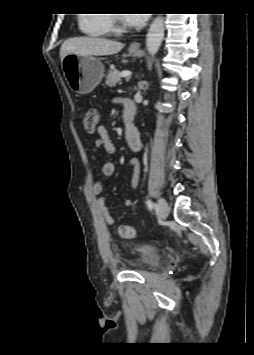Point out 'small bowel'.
Segmentation results:
<instances>
[{"instance_id":"obj_1","label":"small bowel","mask_w":254,"mask_h":355,"mask_svg":"<svg viewBox=\"0 0 254 355\" xmlns=\"http://www.w3.org/2000/svg\"><path fill=\"white\" fill-rule=\"evenodd\" d=\"M129 100H124L122 102L124 107V113L127 111L126 102ZM132 103L131 101H129ZM135 113V109H134ZM98 138L95 140L92 148V159L95 160L97 158L98 152L103 149L107 154H114L116 151L115 145L113 141L110 139L107 129L104 126H99L97 129ZM126 141L128 146L133 152H138L141 149V141L139 132L137 129H134L131 132H126ZM129 167L132 170V177L130 180V186L132 189H135L139 182V172H140V164L136 158H132L129 160ZM115 172V164L113 161H107L103 164L101 168V173L105 177L112 176ZM92 194L97 198L98 208L103 215L105 221L108 225H114L115 219L112 216L111 208L107 203L106 197L103 195V185L100 181H95L91 187ZM125 205L131 206L132 200L130 198L125 199Z\"/></svg>"}]
</instances>
